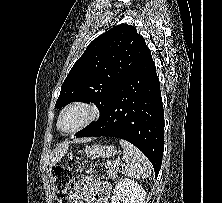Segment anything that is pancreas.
<instances>
[{
	"mask_svg": "<svg viewBox=\"0 0 222 203\" xmlns=\"http://www.w3.org/2000/svg\"><path fill=\"white\" fill-rule=\"evenodd\" d=\"M105 167L107 169L106 170L107 176L115 179L118 173V165L116 164V161L107 163Z\"/></svg>",
	"mask_w": 222,
	"mask_h": 203,
	"instance_id": "cf45deb5",
	"label": "pancreas"
}]
</instances>
